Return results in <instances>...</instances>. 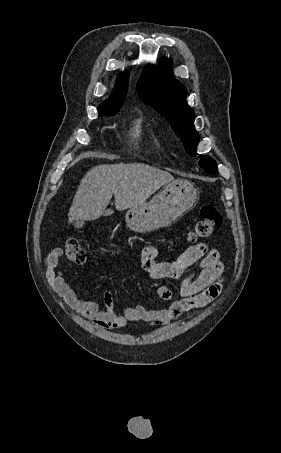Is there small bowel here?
Here are the masks:
<instances>
[{"instance_id":"1","label":"small bowel","mask_w":281,"mask_h":453,"mask_svg":"<svg viewBox=\"0 0 281 453\" xmlns=\"http://www.w3.org/2000/svg\"><path fill=\"white\" fill-rule=\"evenodd\" d=\"M63 250H52L46 257L45 266L53 287L65 301L80 315L92 320L96 325L109 329L121 328L130 321H146L151 324H165L181 315L193 316L200 309L216 299L223 287V266L219 253L207 249L204 244H195L172 261H158L157 247L146 245L141 255V265L152 278L179 279L183 273L198 261L197 268L181 282L178 290L181 300H175L172 289L161 285L157 295L169 305L160 309H147L143 306L123 310L113 308L114 296L109 290L103 298L106 308H100L91 300L82 299L63 277L60 260Z\"/></svg>"}]
</instances>
